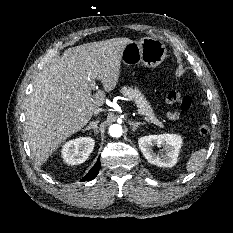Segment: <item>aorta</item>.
Listing matches in <instances>:
<instances>
[{
  "label": "aorta",
  "instance_id": "762f6f07",
  "mask_svg": "<svg viewBox=\"0 0 233 233\" xmlns=\"http://www.w3.org/2000/svg\"><path fill=\"white\" fill-rule=\"evenodd\" d=\"M122 132H123L122 126L119 124H113L109 127V134L112 137H116V138L121 137Z\"/></svg>",
  "mask_w": 233,
  "mask_h": 233
}]
</instances>
